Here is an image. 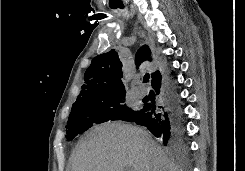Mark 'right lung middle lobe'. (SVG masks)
<instances>
[{
	"label": "right lung middle lobe",
	"instance_id": "1",
	"mask_svg": "<svg viewBox=\"0 0 245 171\" xmlns=\"http://www.w3.org/2000/svg\"><path fill=\"white\" fill-rule=\"evenodd\" d=\"M138 112L139 110L131 109L125 105V93L77 100L72 106L66 138L71 141L93 125L106 121L123 120L130 122Z\"/></svg>",
	"mask_w": 245,
	"mask_h": 171
}]
</instances>
